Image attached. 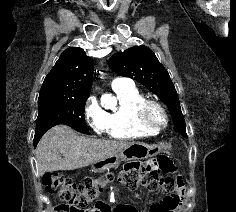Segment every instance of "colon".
<instances>
[{
	"instance_id": "1",
	"label": "colon",
	"mask_w": 236,
	"mask_h": 212,
	"mask_svg": "<svg viewBox=\"0 0 236 212\" xmlns=\"http://www.w3.org/2000/svg\"><path fill=\"white\" fill-rule=\"evenodd\" d=\"M173 170L174 166L168 158L144 163L130 162L123 166L118 174V180L123 185H142L150 191L178 193L177 181L164 175L167 171ZM113 178V174L108 173L100 178H86L76 182L63 174L51 172L44 175L42 184L48 193L56 194L64 203L57 209L58 212H83V209L99 196L105 184Z\"/></svg>"
}]
</instances>
